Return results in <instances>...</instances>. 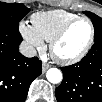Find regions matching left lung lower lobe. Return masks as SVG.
I'll use <instances>...</instances> for the list:
<instances>
[{"instance_id": "obj_1", "label": "left lung lower lobe", "mask_w": 102, "mask_h": 102, "mask_svg": "<svg viewBox=\"0 0 102 102\" xmlns=\"http://www.w3.org/2000/svg\"><path fill=\"white\" fill-rule=\"evenodd\" d=\"M61 70L63 81L56 89L58 102L102 101V40L95 41L80 62Z\"/></svg>"}]
</instances>
